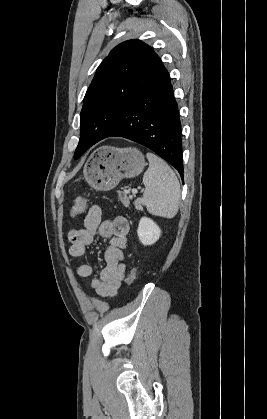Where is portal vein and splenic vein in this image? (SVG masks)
<instances>
[{"mask_svg": "<svg viewBox=\"0 0 267 419\" xmlns=\"http://www.w3.org/2000/svg\"><path fill=\"white\" fill-rule=\"evenodd\" d=\"M137 192H138L137 189H132L133 194H136Z\"/></svg>", "mask_w": 267, "mask_h": 419, "instance_id": "1", "label": "portal vein and splenic vein"}]
</instances>
